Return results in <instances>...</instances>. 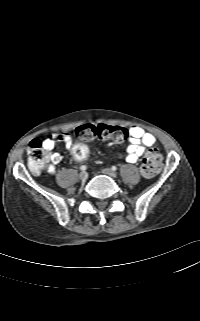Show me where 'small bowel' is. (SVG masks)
<instances>
[{"label": "small bowel", "mask_w": 200, "mask_h": 321, "mask_svg": "<svg viewBox=\"0 0 200 321\" xmlns=\"http://www.w3.org/2000/svg\"><path fill=\"white\" fill-rule=\"evenodd\" d=\"M128 135L129 144L126 149V161L134 164L144 154L147 147L155 144L156 139L154 135L138 126L130 127L128 129ZM56 142H61L68 150L72 144H75L72 137L65 132L51 134L43 141L44 149L47 151L48 160L51 163L47 168L50 174L56 172V165L62 160V156L58 152H52Z\"/></svg>", "instance_id": "c3829d8e"}]
</instances>
